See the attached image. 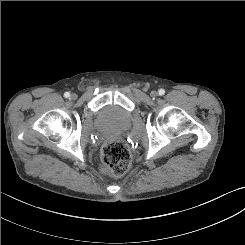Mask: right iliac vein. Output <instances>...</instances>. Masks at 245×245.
<instances>
[{
  "label": "right iliac vein",
  "instance_id": "1",
  "mask_svg": "<svg viewBox=\"0 0 245 245\" xmlns=\"http://www.w3.org/2000/svg\"><path fill=\"white\" fill-rule=\"evenodd\" d=\"M70 98H71L72 100H75V99L77 98V95H76L75 93H73V94H71Z\"/></svg>",
  "mask_w": 245,
  "mask_h": 245
}]
</instances>
